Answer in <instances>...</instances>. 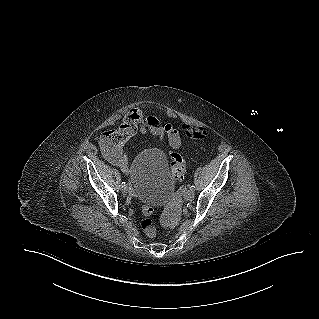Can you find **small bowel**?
Listing matches in <instances>:
<instances>
[{
    "mask_svg": "<svg viewBox=\"0 0 319 319\" xmlns=\"http://www.w3.org/2000/svg\"><path fill=\"white\" fill-rule=\"evenodd\" d=\"M137 131L142 134L150 133L160 141L167 139L175 149L181 145L179 133L173 125H163L156 116L145 115L141 109L133 108L130 119H118L115 123L109 124L102 134V155L125 173L129 170L125 148Z\"/></svg>",
    "mask_w": 319,
    "mask_h": 319,
    "instance_id": "small-bowel-1",
    "label": "small bowel"
}]
</instances>
